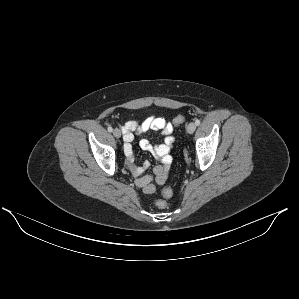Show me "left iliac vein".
Wrapping results in <instances>:
<instances>
[{
    "label": "left iliac vein",
    "mask_w": 299,
    "mask_h": 299,
    "mask_svg": "<svg viewBox=\"0 0 299 299\" xmlns=\"http://www.w3.org/2000/svg\"><path fill=\"white\" fill-rule=\"evenodd\" d=\"M195 129H196L195 123L191 122L187 125V132L189 134H192L195 131Z\"/></svg>",
    "instance_id": "left-iliac-vein-1"
}]
</instances>
